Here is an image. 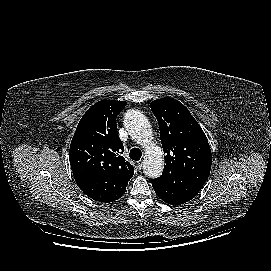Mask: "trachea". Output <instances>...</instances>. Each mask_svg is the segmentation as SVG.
Listing matches in <instances>:
<instances>
[{"instance_id":"trachea-1","label":"trachea","mask_w":271,"mask_h":271,"mask_svg":"<svg viewBox=\"0 0 271 271\" xmlns=\"http://www.w3.org/2000/svg\"><path fill=\"white\" fill-rule=\"evenodd\" d=\"M129 156L132 160L138 161V160H140V158L142 156V152L139 148H132L130 150Z\"/></svg>"}]
</instances>
